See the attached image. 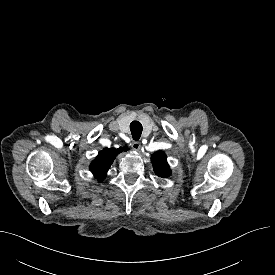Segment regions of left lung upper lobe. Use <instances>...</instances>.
<instances>
[{
    "label": "left lung upper lobe",
    "instance_id": "left-lung-upper-lobe-1",
    "mask_svg": "<svg viewBox=\"0 0 275 275\" xmlns=\"http://www.w3.org/2000/svg\"><path fill=\"white\" fill-rule=\"evenodd\" d=\"M151 161L153 164V169L155 174L161 178H166L171 174L170 167L166 160V155L157 151L151 156Z\"/></svg>",
    "mask_w": 275,
    "mask_h": 275
}]
</instances>
